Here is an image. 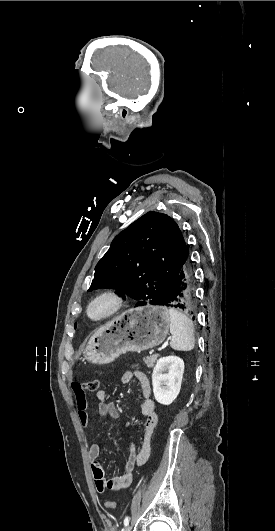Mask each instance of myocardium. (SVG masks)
I'll return each instance as SVG.
<instances>
[{"label":"myocardium","instance_id":"obj_1","mask_svg":"<svg viewBox=\"0 0 275 531\" xmlns=\"http://www.w3.org/2000/svg\"><path fill=\"white\" fill-rule=\"evenodd\" d=\"M121 295L111 289L104 290L92 297L85 306V316L89 321L100 322L115 315L122 307ZM97 307H102L96 312Z\"/></svg>","mask_w":275,"mask_h":531}]
</instances>
